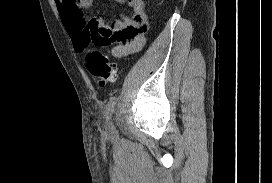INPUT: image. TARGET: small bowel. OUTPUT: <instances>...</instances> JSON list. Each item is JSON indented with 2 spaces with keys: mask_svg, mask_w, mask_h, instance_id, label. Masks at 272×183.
I'll use <instances>...</instances> for the list:
<instances>
[{
  "mask_svg": "<svg viewBox=\"0 0 272 183\" xmlns=\"http://www.w3.org/2000/svg\"><path fill=\"white\" fill-rule=\"evenodd\" d=\"M125 4L131 16L121 15L111 23L101 16L87 18L85 11L93 5V0H55L62 23L77 52H86L91 44L114 39L118 43L111 49L117 59L139 52L146 42L148 28L144 0H115ZM123 30V31H121Z\"/></svg>",
  "mask_w": 272,
  "mask_h": 183,
  "instance_id": "small-bowel-1",
  "label": "small bowel"
}]
</instances>
